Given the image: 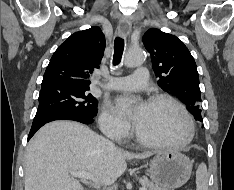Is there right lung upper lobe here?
<instances>
[{
  "mask_svg": "<svg viewBox=\"0 0 234 190\" xmlns=\"http://www.w3.org/2000/svg\"><path fill=\"white\" fill-rule=\"evenodd\" d=\"M105 37L99 27L78 31L63 42L51 57L42 85L63 83L89 87V77L104 54Z\"/></svg>",
  "mask_w": 234,
  "mask_h": 190,
  "instance_id": "right-lung-upper-lobe-1",
  "label": "right lung upper lobe"
}]
</instances>
